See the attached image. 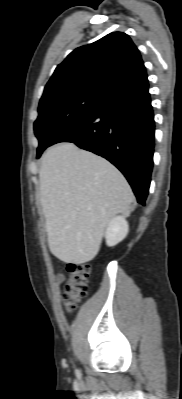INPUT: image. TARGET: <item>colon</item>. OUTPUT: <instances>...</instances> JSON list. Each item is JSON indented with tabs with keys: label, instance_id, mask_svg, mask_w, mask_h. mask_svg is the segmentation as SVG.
<instances>
[{
	"label": "colon",
	"instance_id": "obj_1",
	"mask_svg": "<svg viewBox=\"0 0 182 399\" xmlns=\"http://www.w3.org/2000/svg\"><path fill=\"white\" fill-rule=\"evenodd\" d=\"M67 271L69 280L64 292V307L67 312H71L87 293L90 266L86 263L71 262L67 264Z\"/></svg>",
	"mask_w": 182,
	"mask_h": 399
}]
</instances>
